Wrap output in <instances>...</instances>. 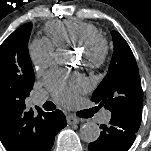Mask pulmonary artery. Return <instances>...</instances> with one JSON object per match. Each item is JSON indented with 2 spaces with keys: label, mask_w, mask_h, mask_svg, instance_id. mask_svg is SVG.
Here are the masks:
<instances>
[{
  "label": "pulmonary artery",
  "mask_w": 151,
  "mask_h": 151,
  "mask_svg": "<svg viewBox=\"0 0 151 151\" xmlns=\"http://www.w3.org/2000/svg\"><path fill=\"white\" fill-rule=\"evenodd\" d=\"M46 100L47 99H46L45 95H43V94H38L35 98V102L38 105H42L43 103L46 102ZM110 117H111V113L109 111H103L100 115V120L102 122H107V121H109Z\"/></svg>",
  "instance_id": "obj_1"
}]
</instances>
